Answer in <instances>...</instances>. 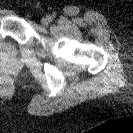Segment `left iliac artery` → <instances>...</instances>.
Instances as JSON below:
<instances>
[{"label": "left iliac artery", "instance_id": "1", "mask_svg": "<svg viewBox=\"0 0 133 133\" xmlns=\"http://www.w3.org/2000/svg\"><path fill=\"white\" fill-rule=\"evenodd\" d=\"M49 19H50V22H51L53 18L51 16H49Z\"/></svg>", "mask_w": 133, "mask_h": 133}]
</instances>
